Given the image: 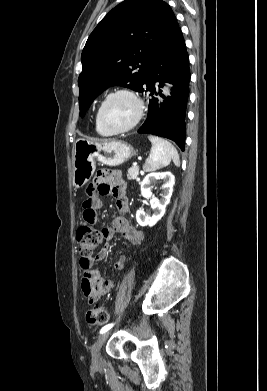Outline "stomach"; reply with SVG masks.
Wrapping results in <instances>:
<instances>
[{
	"mask_svg": "<svg viewBox=\"0 0 267 391\" xmlns=\"http://www.w3.org/2000/svg\"><path fill=\"white\" fill-rule=\"evenodd\" d=\"M136 150L128 143L117 140L99 142L78 139L73 149V186L82 188L93 176L96 160L116 167L135 156Z\"/></svg>",
	"mask_w": 267,
	"mask_h": 391,
	"instance_id": "stomach-1",
	"label": "stomach"
}]
</instances>
